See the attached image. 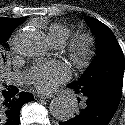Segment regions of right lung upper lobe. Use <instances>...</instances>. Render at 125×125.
<instances>
[{"label":"right lung upper lobe","mask_w":125,"mask_h":125,"mask_svg":"<svg viewBox=\"0 0 125 125\" xmlns=\"http://www.w3.org/2000/svg\"><path fill=\"white\" fill-rule=\"evenodd\" d=\"M25 20H26V17H22V18H5V17H0V23L1 24L17 26V27L21 23H23Z\"/></svg>","instance_id":"cb5924a9"}]
</instances>
